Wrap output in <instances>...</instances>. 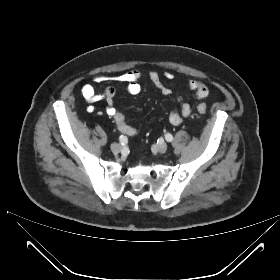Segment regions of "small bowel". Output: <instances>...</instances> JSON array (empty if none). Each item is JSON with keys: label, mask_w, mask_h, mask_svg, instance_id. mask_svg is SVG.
I'll use <instances>...</instances> for the list:
<instances>
[{"label": "small bowel", "mask_w": 280, "mask_h": 280, "mask_svg": "<svg viewBox=\"0 0 280 280\" xmlns=\"http://www.w3.org/2000/svg\"><path fill=\"white\" fill-rule=\"evenodd\" d=\"M98 78L102 79L104 77ZM105 78L126 84V89L129 94L136 95L141 90V72L139 70L133 69L123 73L105 76ZM172 78L173 74L169 71H165L163 75H160L157 72H151L149 74L150 81L156 86L161 94L165 96L171 95L172 90L163 83V79L171 80ZM187 87L195 93L198 100H204L209 96V89L207 85L201 81L190 79L187 82ZM80 91L85 102L89 105V111L94 110L92 106L94 103L105 100L108 104L106 107V113L113 118L119 132L130 137L136 134V129L126 122L124 114L112 105L116 94L114 87L107 86L101 92H97L92 84L86 83L82 85ZM177 100L180 110H172L169 114V121L173 125L181 124L184 119L188 118L192 114V106L187 101H185L182 97H178Z\"/></svg>", "instance_id": "c3829d8e"}]
</instances>
